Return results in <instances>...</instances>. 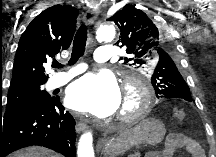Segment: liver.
Wrapping results in <instances>:
<instances>
[{
  "mask_svg": "<svg viewBox=\"0 0 216 157\" xmlns=\"http://www.w3.org/2000/svg\"><path fill=\"white\" fill-rule=\"evenodd\" d=\"M10 157H59V154L44 147L32 146L12 153Z\"/></svg>",
  "mask_w": 216,
  "mask_h": 157,
  "instance_id": "1",
  "label": "liver"
}]
</instances>
